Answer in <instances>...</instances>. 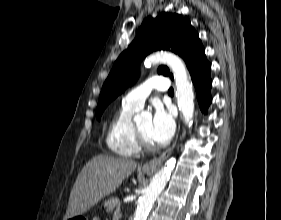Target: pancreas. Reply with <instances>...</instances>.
Returning <instances> with one entry per match:
<instances>
[{
    "mask_svg": "<svg viewBox=\"0 0 281 220\" xmlns=\"http://www.w3.org/2000/svg\"><path fill=\"white\" fill-rule=\"evenodd\" d=\"M104 208H106L107 213H112L116 208H120V200L117 197H111L104 203ZM114 216V215H113ZM115 217V216H114Z\"/></svg>",
    "mask_w": 281,
    "mask_h": 220,
    "instance_id": "obj_1",
    "label": "pancreas"
}]
</instances>
